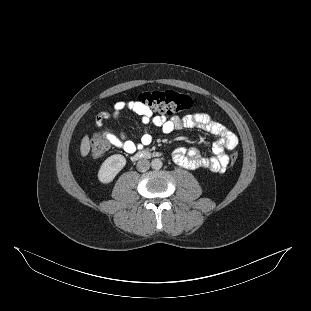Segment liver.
Wrapping results in <instances>:
<instances>
[{
    "label": "liver",
    "instance_id": "obj_1",
    "mask_svg": "<svg viewBox=\"0 0 311 311\" xmlns=\"http://www.w3.org/2000/svg\"><path fill=\"white\" fill-rule=\"evenodd\" d=\"M80 151L83 157L87 156L90 151V142L87 135H85L81 141Z\"/></svg>",
    "mask_w": 311,
    "mask_h": 311
}]
</instances>
